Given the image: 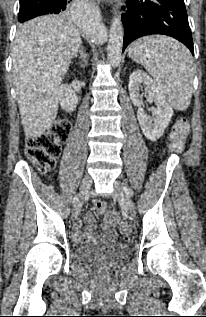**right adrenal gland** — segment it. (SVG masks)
<instances>
[{"mask_svg":"<svg viewBox=\"0 0 206 317\" xmlns=\"http://www.w3.org/2000/svg\"><path fill=\"white\" fill-rule=\"evenodd\" d=\"M78 53L80 54V59H82L83 62L85 63V65H87V54L84 52L82 43H81V45H80V47H79V49H78V51L76 53V56H77Z\"/></svg>","mask_w":206,"mask_h":317,"instance_id":"2a0ac1e0","label":"right adrenal gland"}]
</instances>
